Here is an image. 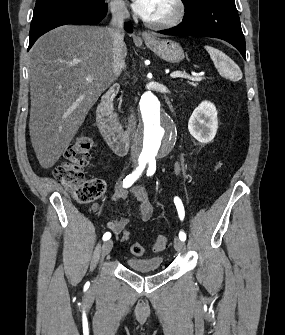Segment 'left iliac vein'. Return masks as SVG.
Returning <instances> with one entry per match:
<instances>
[{
  "instance_id": "left-iliac-vein-1",
  "label": "left iliac vein",
  "mask_w": 285,
  "mask_h": 335,
  "mask_svg": "<svg viewBox=\"0 0 285 335\" xmlns=\"http://www.w3.org/2000/svg\"><path fill=\"white\" fill-rule=\"evenodd\" d=\"M174 247L175 250L179 253H184L186 249L185 243L179 238L174 239Z\"/></svg>"
}]
</instances>
